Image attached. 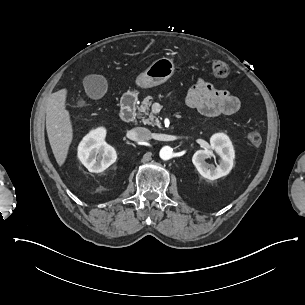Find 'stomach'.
I'll return each mask as SVG.
<instances>
[{
	"instance_id": "obj_1",
	"label": "stomach",
	"mask_w": 305,
	"mask_h": 305,
	"mask_svg": "<svg viewBox=\"0 0 305 305\" xmlns=\"http://www.w3.org/2000/svg\"><path fill=\"white\" fill-rule=\"evenodd\" d=\"M175 66L171 59L160 58L154 61L136 78V84L141 88H151L166 82L174 74Z\"/></svg>"
}]
</instances>
